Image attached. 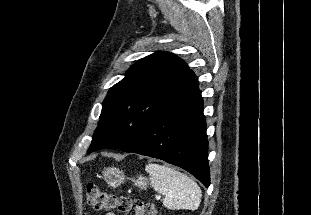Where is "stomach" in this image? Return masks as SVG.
<instances>
[{
	"mask_svg": "<svg viewBox=\"0 0 311 215\" xmlns=\"http://www.w3.org/2000/svg\"><path fill=\"white\" fill-rule=\"evenodd\" d=\"M103 175L106 179L107 184L109 186H112L113 188H116L123 184L126 179L124 172L120 171L117 168H105L103 171ZM130 180L134 183L135 186H137L141 190H146L149 185L148 179L143 177L142 175H140L137 179L131 178Z\"/></svg>",
	"mask_w": 311,
	"mask_h": 215,
	"instance_id": "1",
	"label": "stomach"
}]
</instances>
